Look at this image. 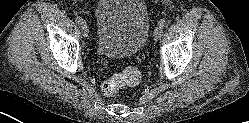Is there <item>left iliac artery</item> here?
<instances>
[{
  "instance_id": "1",
  "label": "left iliac artery",
  "mask_w": 249,
  "mask_h": 123,
  "mask_svg": "<svg viewBox=\"0 0 249 123\" xmlns=\"http://www.w3.org/2000/svg\"><path fill=\"white\" fill-rule=\"evenodd\" d=\"M158 24H159L160 27L164 28L166 26L165 19H161Z\"/></svg>"
}]
</instances>
